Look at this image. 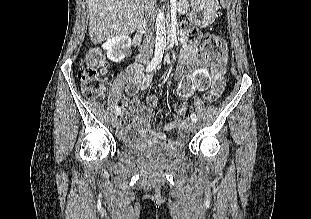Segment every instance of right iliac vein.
Instances as JSON below:
<instances>
[{
	"label": "right iliac vein",
	"instance_id": "1",
	"mask_svg": "<svg viewBox=\"0 0 311 219\" xmlns=\"http://www.w3.org/2000/svg\"><path fill=\"white\" fill-rule=\"evenodd\" d=\"M112 125H113V127H118V125H119V119H118L117 116H114V117L112 118Z\"/></svg>",
	"mask_w": 311,
	"mask_h": 219
}]
</instances>
